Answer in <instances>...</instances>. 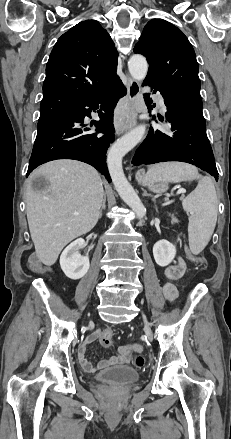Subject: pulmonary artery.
<instances>
[{"instance_id":"1","label":"pulmonary artery","mask_w":231,"mask_h":439,"mask_svg":"<svg viewBox=\"0 0 231 439\" xmlns=\"http://www.w3.org/2000/svg\"><path fill=\"white\" fill-rule=\"evenodd\" d=\"M158 104H159V107L161 108V110H163V111L166 110L164 99L160 95L158 96Z\"/></svg>"}]
</instances>
